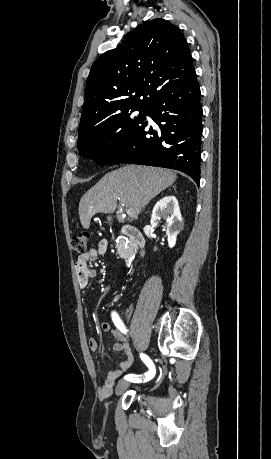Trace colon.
<instances>
[{
  "mask_svg": "<svg viewBox=\"0 0 271 459\" xmlns=\"http://www.w3.org/2000/svg\"><path fill=\"white\" fill-rule=\"evenodd\" d=\"M90 234L86 231L79 232L72 239V248L77 253H84L87 248Z\"/></svg>",
  "mask_w": 271,
  "mask_h": 459,
  "instance_id": "1",
  "label": "colon"
}]
</instances>
